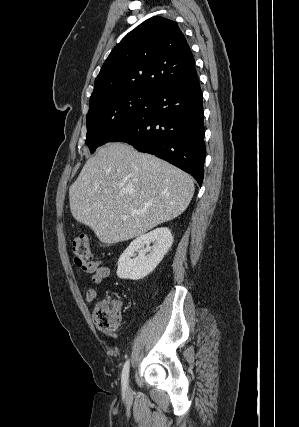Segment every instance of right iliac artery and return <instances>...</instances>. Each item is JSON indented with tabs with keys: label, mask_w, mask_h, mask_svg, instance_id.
Returning <instances> with one entry per match:
<instances>
[{
	"label": "right iliac artery",
	"mask_w": 299,
	"mask_h": 427,
	"mask_svg": "<svg viewBox=\"0 0 299 427\" xmlns=\"http://www.w3.org/2000/svg\"><path fill=\"white\" fill-rule=\"evenodd\" d=\"M129 366H130L129 360H127L126 363L124 364V367L122 370V377H121L123 390H125L127 388L128 377H129Z\"/></svg>",
	"instance_id": "82829eb1"
}]
</instances>
